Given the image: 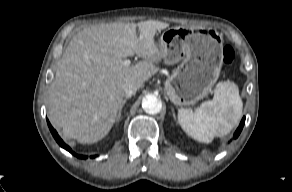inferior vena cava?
<instances>
[{
	"label": "inferior vena cava",
	"instance_id": "inferior-vena-cava-1",
	"mask_svg": "<svg viewBox=\"0 0 292 192\" xmlns=\"http://www.w3.org/2000/svg\"><path fill=\"white\" fill-rule=\"evenodd\" d=\"M123 90L125 93V97L128 98V97L133 96L137 92L138 88L135 84L128 82L124 84Z\"/></svg>",
	"mask_w": 292,
	"mask_h": 192
}]
</instances>
